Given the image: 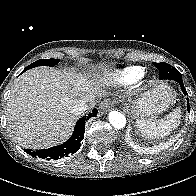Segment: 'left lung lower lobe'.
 Here are the masks:
<instances>
[{
    "mask_svg": "<svg viewBox=\"0 0 196 196\" xmlns=\"http://www.w3.org/2000/svg\"><path fill=\"white\" fill-rule=\"evenodd\" d=\"M160 69L161 70H172L173 68H170L167 65H162V66H160ZM165 73H166V71L164 72V76H160L159 79H169V80L177 81L180 84V86H181L182 92L185 95H187L186 89H185L184 84H183V81H182V77L181 76H178V75H175L174 72L173 73L168 72L167 74H165ZM168 74H170V75H168ZM187 108H188V111H190L189 99H187Z\"/></svg>",
    "mask_w": 196,
    "mask_h": 196,
    "instance_id": "1",
    "label": "left lung lower lobe"
}]
</instances>
